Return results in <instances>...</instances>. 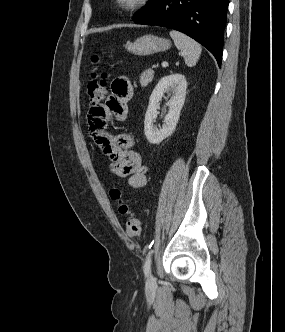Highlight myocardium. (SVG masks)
Masks as SVG:
<instances>
[{"label":"myocardium","instance_id":"myocardium-1","mask_svg":"<svg viewBox=\"0 0 285 332\" xmlns=\"http://www.w3.org/2000/svg\"><path fill=\"white\" fill-rule=\"evenodd\" d=\"M152 0H113L114 6L125 13L143 10L151 4Z\"/></svg>","mask_w":285,"mask_h":332}]
</instances>
